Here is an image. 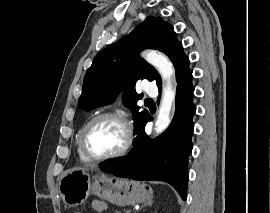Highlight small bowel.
<instances>
[{
  "label": "small bowel",
  "instance_id": "obj_1",
  "mask_svg": "<svg viewBox=\"0 0 270 213\" xmlns=\"http://www.w3.org/2000/svg\"><path fill=\"white\" fill-rule=\"evenodd\" d=\"M93 207L98 213H103L106 210V207L102 202H94Z\"/></svg>",
  "mask_w": 270,
  "mask_h": 213
}]
</instances>
